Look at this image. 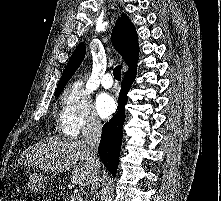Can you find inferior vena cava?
<instances>
[{
	"label": "inferior vena cava",
	"mask_w": 221,
	"mask_h": 201,
	"mask_svg": "<svg viewBox=\"0 0 221 201\" xmlns=\"http://www.w3.org/2000/svg\"><path fill=\"white\" fill-rule=\"evenodd\" d=\"M102 126L100 120L96 116H91L86 126L83 128L82 136L88 145V154L91 163L92 179H91V196L95 201L97 189L99 186V168L100 161L97 156L98 146L101 139Z\"/></svg>",
	"instance_id": "602c4592"
}]
</instances>
